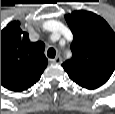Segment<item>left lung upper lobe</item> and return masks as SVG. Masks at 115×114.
Masks as SVG:
<instances>
[{
	"mask_svg": "<svg viewBox=\"0 0 115 114\" xmlns=\"http://www.w3.org/2000/svg\"><path fill=\"white\" fill-rule=\"evenodd\" d=\"M73 33L72 58L62 64L69 78L86 89L103 85L115 70V33L89 11L65 15Z\"/></svg>",
	"mask_w": 115,
	"mask_h": 114,
	"instance_id": "5c2ea615",
	"label": "left lung upper lobe"
}]
</instances>
